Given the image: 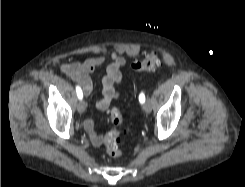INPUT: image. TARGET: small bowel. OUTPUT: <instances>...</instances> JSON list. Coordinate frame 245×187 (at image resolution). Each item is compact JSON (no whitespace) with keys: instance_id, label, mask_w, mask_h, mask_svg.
Listing matches in <instances>:
<instances>
[{"instance_id":"c3829d8e","label":"small bowel","mask_w":245,"mask_h":187,"mask_svg":"<svg viewBox=\"0 0 245 187\" xmlns=\"http://www.w3.org/2000/svg\"><path fill=\"white\" fill-rule=\"evenodd\" d=\"M128 64L125 56L113 52L107 61L105 56H95L82 62L64 63L61 71L71 80L79 83L86 95L92 91L90 74L97 68L105 65V74L102 77V96L98 99L96 106L100 110L108 109L110 103L119 97L116 86L121 85L126 80V71L122 70ZM92 144L99 147L103 144V136L95 130L93 119L84 122Z\"/></svg>"}]
</instances>
